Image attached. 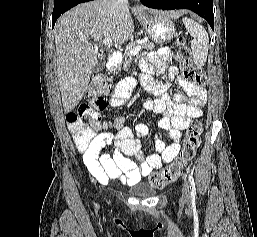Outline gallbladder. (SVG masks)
<instances>
[{
  "instance_id": "bac80fb5",
  "label": "gallbladder",
  "mask_w": 257,
  "mask_h": 237,
  "mask_svg": "<svg viewBox=\"0 0 257 237\" xmlns=\"http://www.w3.org/2000/svg\"><path fill=\"white\" fill-rule=\"evenodd\" d=\"M104 64H105V59L104 58H99L98 61H97V64L95 65V67L93 68V72L94 73H98L100 72L103 67H104Z\"/></svg>"
}]
</instances>
